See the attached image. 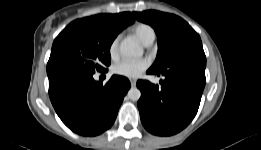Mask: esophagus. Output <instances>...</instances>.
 Segmentation results:
<instances>
[{
  "mask_svg": "<svg viewBox=\"0 0 261 150\" xmlns=\"http://www.w3.org/2000/svg\"><path fill=\"white\" fill-rule=\"evenodd\" d=\"M130 83L132 87L136 86V80L135 79H130Z\"/></svg>",
  "mask_w": 261,
  "mask_h": 150,
  "instance_id": "esophagus-1",
  "label": "esophagus"
}]
</instances>
